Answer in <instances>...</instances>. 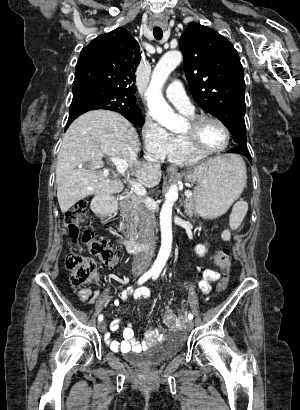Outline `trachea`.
<instances>
[{"instance_id": "3493384b", "label": "trachea", "mask_w": 300, "mask_h": 410, "mask_svg": "<svg viewBox=\"0 0 300 410\" xmlns=\"http://www.w3.org/2000/svg\"><path fill=\"white\" fill-rule=\"evenodd\" d=\"M153 34H154V37H155L157 40H160V39L162 38V36H163V31H162L160 28H155V29L153 30Z\"/></svg>"}]
</instances>
